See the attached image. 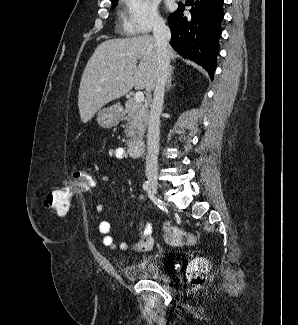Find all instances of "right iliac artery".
<instances>
[{"label":"right iliac artery","instance_id":"82829eb1","mask_svg":"<svg viewBox=\"0 0 298 325\" xmlns=\"http://www.w3.org/2000/svg\"><path fill=\"white\" fill-rule=\"evenodd\" d=\"M143 189L145 191H147L148 193H151V188H150V184H149V181H145L144 184H143Z\"/></svg>","mask_w":298,"mask_h":325}]
</instances>
